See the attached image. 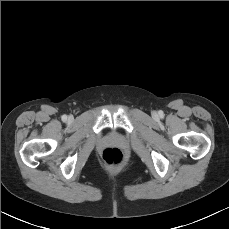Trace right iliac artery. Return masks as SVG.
I'll return each mask as SVG.
<instances>
[{
    "label": "right iliac artery",
    "instance_id": "82829eb1",
    "mask_svg": "<svg viewBox=\"0 0 229 229\" xmlns=\"http://www.w3.org/2000/svg\"><path fill=\"white\" fill-rule=\"evenodd\" d=\"M62 120H63V121H66V120H67V116H66V115H63V116H62Z\"/></svg>",
    "mask_w": 229,
    "mask_h": 229
}]
</instances>
